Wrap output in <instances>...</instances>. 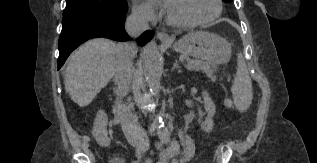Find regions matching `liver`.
<instances>
[{"instance_id":"liver-1","label":"liver","mask_w":317,"mask_h":163,"mask_svg":"<svg viewBox=\"0 0 317 163\" xmlns=\"http://www.w3.org/2000/svg\"><path fill=\"white\" fill-rule=\"evenodd\" d=\"M120 44L109 39L87 41L71 56L65 69L64 85L80 107L89 105L114 76Z\"/></svg>"}]
</instances>
